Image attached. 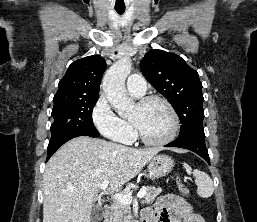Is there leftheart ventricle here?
<instances>
[{"instance_id":"b2bd125f","label":"left heart ventricle","mask_w":257,"mask_h":222,"mask_svg":"<svg viewBox=\"0 0 257 222\" xmlns=\"http://www.w3.org/2000/svg\"><path fill=\"white\" fill-rule=\"evenodd\" d=\"M131 120L140 132L150 140L166 137L172 129V117L168 109L160 102H153L145 107L136 106Z\"/></svg>"}]
</instances>
